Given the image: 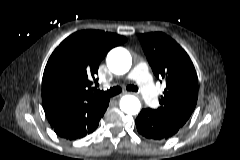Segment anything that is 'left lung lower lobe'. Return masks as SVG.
<instances>
[{
	"label": "left lung lower lobe",
	"mask_w": 240,
	"mask_h": 160,
	"mask_svg": "<svg viewBox=\"0 0 240 160\" xmlns=\"http://www.w3.org/2000/svg\"><path fill=\"white\" fill-rule=\"evenodd\" d=\"M135 124L139 134L154 141L168 140L181 129L151 108L142 109Z\"/></svg>",
	"instance_id": "0a47b994"
}]
</instances>
